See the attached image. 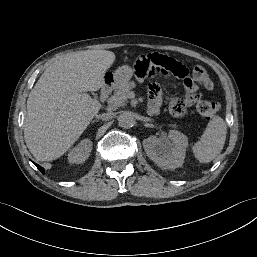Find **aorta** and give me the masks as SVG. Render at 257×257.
Listing matches in <instances>:
<instances>
[{"label":"aorta","mask_w":257,"mask_h":257,"mask_svg":"<svg viewBox=\"0 0 257 257\" xmlns=\"http://www.w3.org/2000/svg\"><path fill=\"white\" fill-rule=\"evenodd\" d=\"M118 123L123 128H130L134 124V118L129 111H123L118 116Z\"/></svg>","instance_id":"obj_1"}]
</instances>
